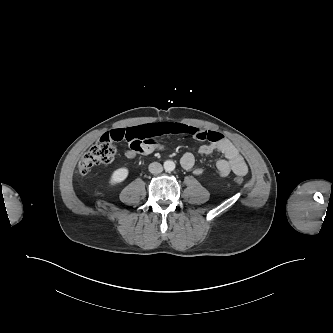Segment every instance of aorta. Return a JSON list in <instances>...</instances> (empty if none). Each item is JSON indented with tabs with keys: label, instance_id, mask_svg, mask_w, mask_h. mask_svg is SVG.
I'll use <instances>...</instances> for the list:
<instances>
[{
	"label": "aorta",
	"instance_id": "aorta-1",
	"mask_svg": "<svg viewBox=\"0 0 333 333\" xmlns=\"http://www.w3.org/2000/svg\"><path fill=\"white\" fill-rule=\"evenodd\" d=\"M165 171L171 172L175 169V163L172 160H166L164 162Z\"/></svg>",
	"mask_w": 333,
	"mask_h": 333
}]
</instances>
